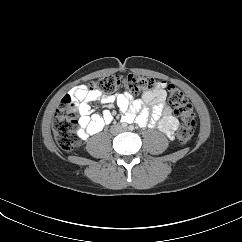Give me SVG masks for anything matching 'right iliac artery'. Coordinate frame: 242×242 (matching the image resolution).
<instances>
[{
	"label": "right iliac artery",
	"mask_w": 242,
	"mask_h": 242,
	"mask_svg": "<svg viewBox=\"0 0 242 242\" xmlns=\"http://www.w3.org/2000/svg\"><path fill=\"white\" fill-rule=\"evenodd\" d=\"M121 122H125V120H123V119H121ZM127 126V124H123V127H126Z\"/></svg>",
	"instance_id": "obj_1"
}]
</instances>
